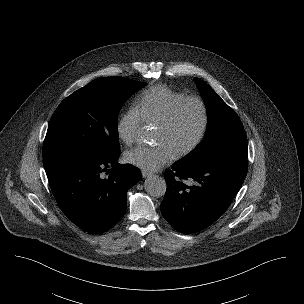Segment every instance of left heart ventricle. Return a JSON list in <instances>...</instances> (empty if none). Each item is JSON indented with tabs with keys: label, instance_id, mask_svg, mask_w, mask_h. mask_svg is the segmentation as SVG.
<instances>
[{
	"label": "left heart ventricle",
	"instance_id": "b2bd125f",
	"mask_svg": "<svg viewBox=\"0 0 304 304\" xmlns=\"http://www.w3.org/2000/svg\"><path fill=\"white\" fill-rule=\"evenodd\" d=\"M201 112L196 103L184 104L167 129L157 127L155 142L166 144L173 151L187 145L197 134Z\"/></svg>",
	"mask_w": 304,
	"mask_h": 304
}]
</instances>
